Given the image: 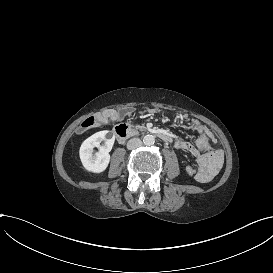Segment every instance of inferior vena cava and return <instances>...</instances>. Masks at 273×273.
Masks as SVG:
<instances>
[{"label":"inferior vena cava","mask_w":273,"mask_h":273,"mask_svg":"<svg viewBox=\"0 0 273 273\" xmlns=\"http://www.w3.org/2000/svg\"><path fill=\"white\" fill-rule=\"evenodd\" d=\"M142 145V141L139 138H131L127 142V148L128 149H136Z\"/></svg>","instance_id":"obj_1"}]
</instances>
